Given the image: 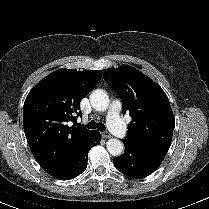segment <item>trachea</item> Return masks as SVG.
I'll use <instances>...</instances> for the list:
<instances>
[{"instance_id":"3493384b","label":"trachea","mask_w":209,"mask_h":209,"mask_svg":"<svg viewBox=\"0 0 209 209\" xmlns=\"http://www.w3.org/2000/svg\"><path fill=\"white\" fill-rule=\"evenodd\" d=\"M89 129L97 128L99 131H104L106 129L105 125L102 122L96 123L94 120L90 121L87 124Z\"/></svg>"}]
</instances>
